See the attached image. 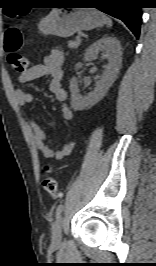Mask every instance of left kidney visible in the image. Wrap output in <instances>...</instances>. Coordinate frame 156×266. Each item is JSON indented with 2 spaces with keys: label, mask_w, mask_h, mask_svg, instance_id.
I'll return each mask as SVG.
<instances>
[{
  "label": "left kidney",
  "mask_w": 156,
  "mask_h": 266,
  "mask_svg": "<svg viewBox=\"0 0 156 266\" xmlns=\"http://www.w3.org/2000/svg\"><path fill=\"white\" fill-rule=\"evenodd\" d=\"M101 53L108 58V63L104 66L101 79L96 83L94 90L82 96L79 93L78 80L73 77L70 81L71 107L75 111L89 108L98 103L114 83L119 73L122 62V51L119 40L113 36H104L90 45L84 54L85 61H91ZM82 67V63H77L75 69Z\"/></svg>",
  "instance_id": "left-kidney-1"
}]
</instances>
